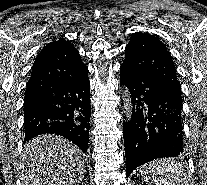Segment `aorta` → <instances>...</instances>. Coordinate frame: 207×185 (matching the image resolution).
Masks as SVG:
<instances>
[{"mask_svg": "<svg viewBox=\"0 0 207 185\" xmlns=\"http://www.w3.org/2000/svg\"><path fill=\"white\" fill-rule=\"evenodd\" d=\"M131 99L132 97L129 92V89L126 86H124L122 91V108L127 121L131 119L132 115L133 104Z\"/></svg>", "mask_w": 207, "mask_h": 185, "instance_id": "aorta-1", "label": "aorta"}]
</instances>
